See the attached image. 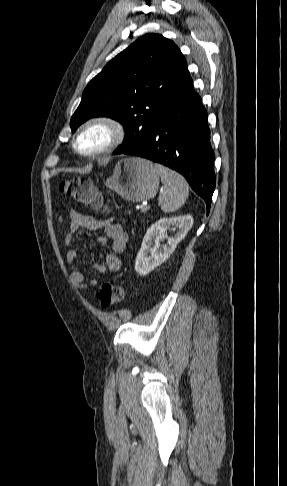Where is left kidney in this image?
<instances>
[{
	"mask_svg": "<svg viewBox=\"0 0 287 486\" xmlns=\"http://www.w3.org/2000/svg\"><path fill=\"white\" fill-rule=\"evenodd\" d=\"M192 215L162 218L152 224L147 230L141 248L135 260V271L140 276H145L156 267L165 262L176 249L188 231L192 228ZM174 226L178 232L169 237L167 231ZM167 239V244L160 247V242Z\"/></svg>",
	"mask_w": 287,
	"mask_h": 486,
	"instance_id": "left-kidney-1",
	"label": "left kidney"
}]
</instances>
